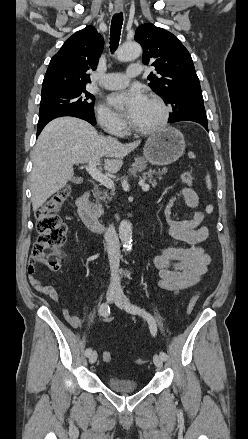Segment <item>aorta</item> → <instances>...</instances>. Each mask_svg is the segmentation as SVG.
Here are the masks:
<instances>
[{
    "label": "aorta",
    "instance_id": "1",
    "mask_svg": "<svg viewBox=\"0 0 248 439\" xmlns=\"http://www.w3.org/2000/svg\"><path fill=\"white\" fill-rule=\"evenodd\" d=\"M142 53L141 46L136 43H125L117 51L119 61H131L140 56ZM119 237L126 251L132 249V224L128 220H122L119 224Z\"/></svg>",
    "mask_w": 248,
    "mask_h": 439
}]
</instances>
